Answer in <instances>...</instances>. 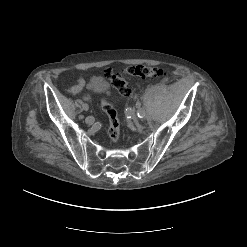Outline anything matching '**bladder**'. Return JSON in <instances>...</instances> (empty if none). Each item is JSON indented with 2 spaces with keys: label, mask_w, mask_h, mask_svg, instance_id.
Segmentation results:
<instances>
[{
  "label": "bladder",
  "mask_w": 247,
  "mask_h": 247,
  "mask_svg": "<svg viewBox=\"0 0 247 247\" xmlns=\"http://www.w3.org/2000/svg\"><path fill=\"white\" fill-rule=\"evenodd\" d=\"M90 88L97 95L105 94L108 90L107 83L100 77H96L91 81Z\"/></svg>",
  "instance_id": "31cf9c89"
}]
</instances>
